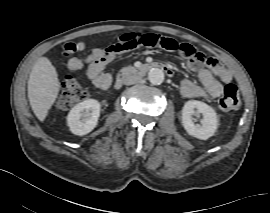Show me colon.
<instances>
[{
  "instance_id": "1",
  "label": "colon",
  "mask_w": 270,
  "mask_h": 213,
  "mask_svg": "<svg viewBox=\"0 0 270 213\" xmlns=\"http://www.w3.org/2000/svg\"><path fill=\"white\" fill-rule=\"evenodd\" d=\"M149 47L158 51H172L180 49L199 63L208 62L204 53L193 51L189 43H178L172 38L154 34H125L120 36L108 48V53H119L139 47ZM87 99L86 89L75 79L68 78L61 84L58 105L61 108L71 107ZM220 108L224 111L235 110L240 106L239 90L233 83H228L219 101Z\"/></svg>"
}]
</instances>
